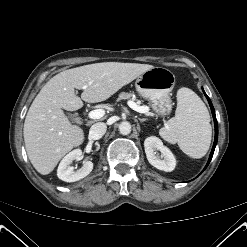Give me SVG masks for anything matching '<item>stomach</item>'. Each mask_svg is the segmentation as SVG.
Listing matches in <instances>:
<instances>
[{
	"label": "stomach",
	"mask_w": 247,
	"mask_h": 247,
	"mask_svg": "<svg viewBox=\"0 0 247 247\" xmlns=\"http://www.w3.org/2000/svg\"><path fill=\"white\" fill-rule=\"evenodd\" d=\"M175 82V76L170 70L153 67L137 78L135 87L137 92L151 103L152 109L158 115H167L172 109L170 93Z\"/></svg>",
	"instance_id": "obj_1"
}]
</instances>
